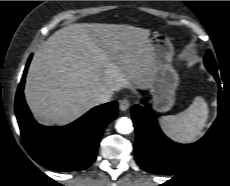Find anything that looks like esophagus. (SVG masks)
Instances as JSON below:
<instances>
[{
  "mask_svg": "<svg viewBox=\"0 0 230 186\" xmlns=\"http://www.w3.org/2000/svg\"><path fill=\"white\" fill-rule=\"evenodd\" d=\"M130 107V103L127 99H122L119 101V108L121 111H127Z\"/></svg>",
  "mask_w": 230,
  "mask_h": 186,
  "instance_id": "esophagus-1",
  "label": "esophagus"
}]
</instances>
